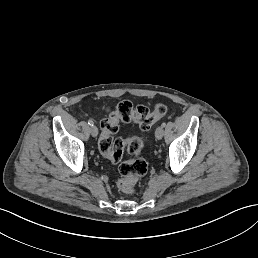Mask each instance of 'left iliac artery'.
<instances>
[{
	"instance_id": "obj_1",
	"label": "left iliac artery",
	"mask_w": 258,
	"mask_h": 258,
	"mask_svg": "<svg viewBox=\"0 0 258 258\" xmlns=\"http://www.w3.org/2000/svg\"><path fill=\"white\" fill-rule=\"evenodd\" d=\"M161 126L164 128L166 126V122H163Z\"/></svg>"
}]
</instances>
